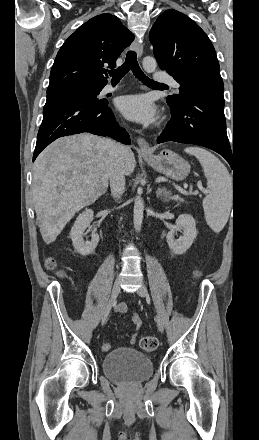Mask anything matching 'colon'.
Masks as SVG:
<instances>
[{
  "instance_id": "colon-1",
  "label": "colon",
  "mask_w": 259,
  "mask_h": 440,
  "mask_svg": "<svg viewBox=\"0 0 259 440\" xmlns=\"http://www.w3.org/2000/svg\"><path fill=\"white\" fill-rule=\"evenodd\" d=\"M46 267L49 270L57 271V273L60 275L63 274L62 270H59L57 268V263H56L55 259H53V258H48L46 260ZM195 275L198 276L199 272H196ZM140 346L143 350H145L147 352H153L158 347V340L156 337L146 336V337H143L140 339Z\"/></svg>"
}]
</instances>
